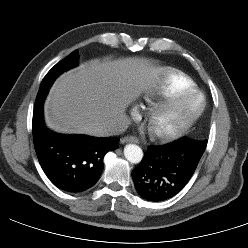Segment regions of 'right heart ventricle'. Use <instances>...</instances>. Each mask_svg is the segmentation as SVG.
I'll use <instances>...</instances> for the list:
<instances>
[{
	"label": "right heart ventricle",
	"mask_w": 248,
	"mask_h": 248,
	"mask_svg": "<svg viewBox=\"0 0 248 248\" xmlns=\"http://www.w3.org/2000/svg\"><path fill=\"white\" fill-rule=\"evenodd\" d=\"M189 89H195L191 78L181 71L171 70L166 74L161 86L149 96V101L170 97Z\"/></svg>",
	"instance_id": "1"
}]
</instances>
